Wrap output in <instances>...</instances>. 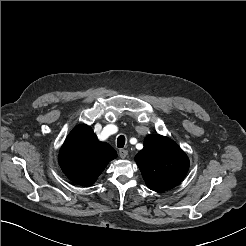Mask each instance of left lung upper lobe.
<instances>
[{"instance_id":"obj_1","label":"left lung upper lobe","mask_w":246,"mask_h":246,"mask_svg":"<svg viewBox=\"0 0 246 246\" xmlns=\"http://www.w3.org/2000/svg\"><path fill=\"white\" fill-rule=\"evenodd\" d=\"M135 161L146 185L158 192L178 185L189 169L187 155L173 140L161 135H148Z\"/></svg>"}]
</instances>
